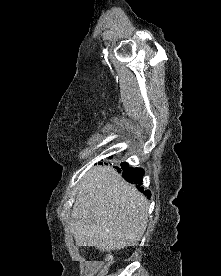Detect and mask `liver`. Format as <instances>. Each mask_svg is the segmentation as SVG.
I'll return each instance as SVG.
<instances>
[{
  "mask_svg": "<svg viewBox=\"0 0 221 276\" xmlns=\"http://www.w3.org/2000/svg\"><path fill=\"white\" fill-rule=\"evenodd\" d=\"M147 220V199L115 169L97 166L83 175L70 222L77 246L103 251L134 246Z\"/></svg>",
  "mask_w": 221,
  "mask_h": 276,
  "instance_id": "1",
  "label": "liver"
}]
</instances>
